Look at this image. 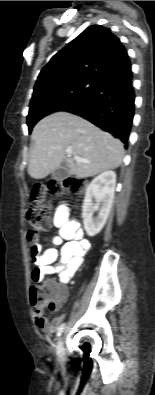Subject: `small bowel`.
<instances>
[{"label": "small bowel", "instance_id": "1", "mask_svg": "<svg viewBox=\"0 0 155 395\" xmlns=\"http://www.w3.org/2000/svg\"><path fill=\"white\" fill-rule=\"evenodd\" d=\"M54 224L59 233L54 237L55 247L44 252L43 240H32L29 247V260L32 261L30 269L32 281H41L42 276H59L62 285L68 283L83 262V256L90 247L89 241L84 237L83 231L76 221L69 219V211L64 205H59L54 214ZM58 247V248H57ZM67 290L62 288V296L54 301L57 310L66 300ZM37 328L45 336H50L57 330L61 317L49 321L44 313V308H35L33 312Z\"/></svg>", "mask_w": 155, "mask_h": 395}]
</instances>
